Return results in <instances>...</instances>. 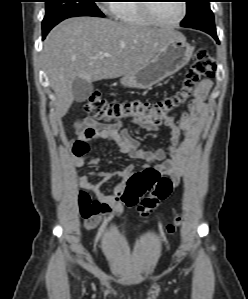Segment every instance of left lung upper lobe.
I'll return each mask as SVG.
<instances>
[{"mask_svg":"<svg viewBox=\"0 0 248 299\" xmlns=\"http://www.w3.org/2000/svg\"><path fill=\"white\" fill-rule=\"evenodd\" d=\"M210 0H186L187 14L181 26L203 30L215 28L214 16L209 6Z\"/></svg>","mask_w":248,"mask_h":299,"instance_id":"obj_1","label":"left lung upper lobe"}]
</instances>
